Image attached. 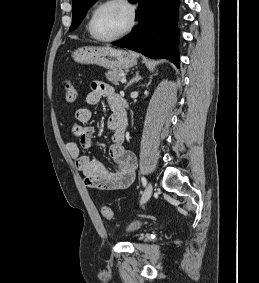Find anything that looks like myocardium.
Listing matches in <instances>:
<instances>
[{
    "label": "myocardium",
    "mask_w": 259,
    "mask_h": 283,
    "mask_svg": "<svg viewBox=\"0 0 259 283\" xmlns=\"http://www.w3.org/2000/svg\"><path fill=\"white\" fill-rule=\"evenodd\" d=\"M111 3H120L123 6L126 7V9L128 10L129 13V21L127 26L117 35L109 37V38H103V37H99L98 35H96L95 31H94V21H95V17L97 15V13L99 12V10L101 8H103L104 6L111 4ZM136 23V9L135 6L131 3L130 0H103L101 1L92 11L90 19H89V23H88V30L90 35L97 41L99 42H112L115 40H118L122 37H124L125 35H127L135 26Z\"/></svg>",
    "instance_id": "obj_1"
}]
</instances>
